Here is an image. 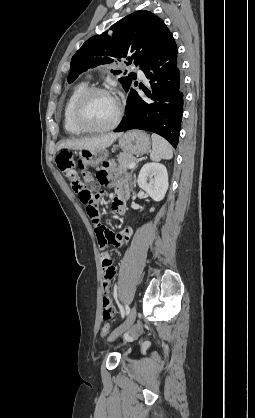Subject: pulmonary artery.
Segmentation results:
<instances>
[{
	"label": "pulmonary artery",
	"mask_w": 255,
	"mask_h": 418,
	"mask_svg": "<svg viewBox=\"0 0 255 418\" xmlns=\"http://www.w3.org/2000/svg\"><path fill=\"white\" fill-rule=\"evenodd\" d=\"M139 77L144 78V73L142 71H139Z\"/></svg>",
	"instance_id": "1"
}]
</instances>
